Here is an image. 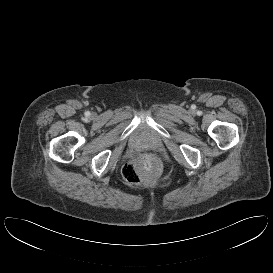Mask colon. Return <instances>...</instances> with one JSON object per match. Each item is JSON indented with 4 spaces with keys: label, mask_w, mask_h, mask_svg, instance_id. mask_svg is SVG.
<instances>
[{
    "label": "colon",
    "mask_w": 273,
    "mask_h": 273,
    "mask_svg": "<svg viewBox=\"0 0 273 273\" xmlns=\"http://www.w3.org/2000/svg\"><path fill=\"white\" fill-rule=\"evenodd\" d=\"M140 168L143 169L147 176L152 177L159 174L161 164L154 156L144 155L137 162L128 163L124 166L122 170L124 179L131 184L140 183L143 177Z\"/></svg>",
    "instance_id": "colon-1"
}]
</instances>
